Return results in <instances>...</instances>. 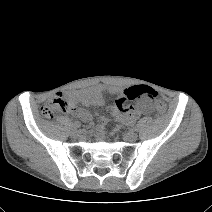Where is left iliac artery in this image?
Segmentation results:
<instances>
[{"label":"left iliac artery","instance_id":"1","mask_svg":"<svg viewBox=\"0 0 212 212\" xmlns=\"http://www.w3.org/2000/svg\"><path fill=\"white\" fill-rule=\"evenodd\" d=\"M134 129L137 131L138 130V126H135Z\"/></svg>","mask_w":212,"mask_h":212}]
</instances>
